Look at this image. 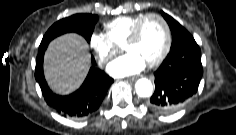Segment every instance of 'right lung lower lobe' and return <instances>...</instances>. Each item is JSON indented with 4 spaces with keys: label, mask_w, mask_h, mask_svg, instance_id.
<instances>
[{
    "label": "right lung lower lobe",
    "mask_w": 236,
    "mask_h": 135,
    "mask_svg": "<svg viewBox=\"0 0 236 135\" xmlns=\"http://www.w3.org/2000/svg\"><path fill=\"white\" fill-rule=\"evenodd\" d=\"M46 48H39L35 68V78L46 103L59 114L72 118H83L94 113L99 108L113 79L104 71L91 67L87 78L77 91L68 96L56 95L49 89L43 74V57ZM92 64H95L94 58Z\"/></svg>",
    "instance_id": "1"
}]
</instances>
